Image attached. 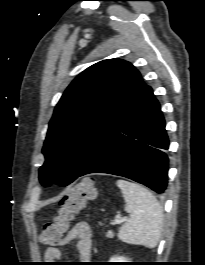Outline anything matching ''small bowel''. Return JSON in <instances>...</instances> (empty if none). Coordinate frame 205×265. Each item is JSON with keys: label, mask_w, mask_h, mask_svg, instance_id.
<instances>
[{"label": "small bowel", "mask_w": 205, "mask_h": 265, "mask_svg": "<svg viewBox=\"0 0 205 265\" xmlns=\"http://www.w3.org/2000/svg\"><path fill=\"white\" fill-rule=\"evenodd\" d=\"M71 242H76V248L81 261H88L92 253V230L88 223L84 221L77 222L60 241L59 247H48L44 258L48 262H54L62 257L60 247Z\"/></svg>", "instance_id": "obj_1"}]
</instances>
